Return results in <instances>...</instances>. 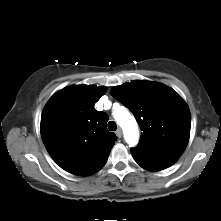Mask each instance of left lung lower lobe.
<instances>
[{
    "instance_id": "left-lung-lower-lobe-1",
    "label": "left lung lower lobe",
    "mask_w": 221,
    "mask_h": 221,
    "mask_svg": "<svg viewBox=\"0 0 221 221\" xmlns=\"http://www.w3.org/2000/svg\"><path fill=\"white\" fill-rule=\"evenodd\" d=\"M135 159V161L144 169L149 171H160L163 170L172 164H174L177 159H147L143 157H139L136 155H132Z\"/></svg>"
}]
</instances>
